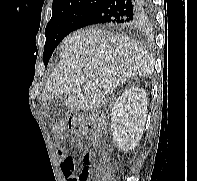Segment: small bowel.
<instances>
[{"label":"small bowel","instance_id":"1","mask_svg":"<svg viewBox=\"0 0 197 181\" xmlns=\"http://www.w3.org/2000/svg\"><path fill=\"white\" fill-rule=\"evenodd\" d=\"M57 158L61 162L62 173L66 181H77L75 175L76 160L74 157L68 155L67 150L61 147L56 152Z\"/></svg>","mask_w":197,"mask_h":181}]
</instances>
